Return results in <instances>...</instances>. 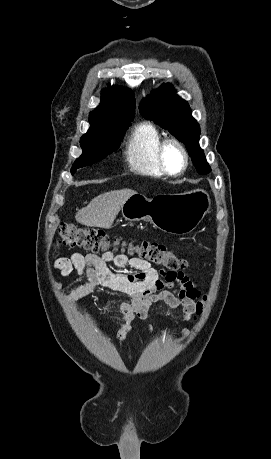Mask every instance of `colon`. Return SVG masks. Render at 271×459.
Returning <instances> with one entry per match:
<instances>
[{"mask_svg": "<svg viewBox=\"0 0 271 459\" xmlns=\"http://www.w3.org/2000/svg\"><path fill=\"white\" fill-rule=\"evenodd\" d=\"M59 245L69 247H81L93 252L107 251L110 248L122 247L127 253L137 255L139 258L165 267L169 271L176 272L187 266V261L177 253L168 249L165 245L156 242H141L128 244L119 238H112L102 229L85 228L74 224H63L59 231ZM203 300L198 301L196 314H201Z\"/></svg>", "mask_w": 271, "mask_h": 459, "instance_id": "1", "label": "colon"}]
</instances>
